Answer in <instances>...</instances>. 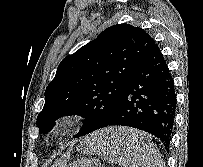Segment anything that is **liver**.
<instances>
[{
  "mask_svg": "<svg viewBox=\"0 0 203 167\" xmlns=\"http://www.w3.org/2000/svg\"><path fill=\"white\" fill-rule=\"evenodd\" d=\"M107 132L110 134L103 135L102 137L106 138L110 136L116 140L124 141L125 144H127L128 149L130 150H134L136 147L141 145L143 143V140L148 137L145 133L139 130L129 128H109ZM66 165L67 160H63L54 163L52 167H66Z\"/></svg>",
  "mask_w": 203,
  "mask_h": 167,
  "instance_id": "obj_1",
  "label": "liver"
}]
</instances>
